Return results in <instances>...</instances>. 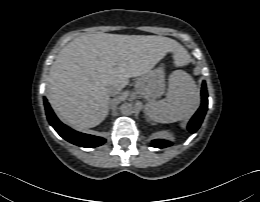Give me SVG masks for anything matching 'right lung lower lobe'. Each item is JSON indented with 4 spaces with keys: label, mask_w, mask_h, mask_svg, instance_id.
Here are the masks:
<instances>
[{
    "label": "right lung lower lobe",
    "mask_w": 260,
    "mask_h": 202,
    "mask_svg": "<svg viewBox=\"0 0 260 202\" xmlns=\"http://www.w3.org/2000/svg\"><path fill=\"white\" fill-rule=\"evenodd\" d=\"M47 119L57 133L68 142L80 147L93 148L106 142V139L94 135L79 133L61 123L53 113L47 99L44 98Z\"/></svg>",
    "instance_id": "1"
}]
</instances>
